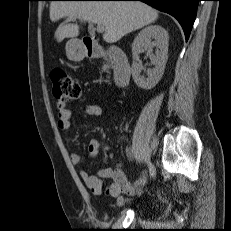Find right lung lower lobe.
Here are the masks:
<instances>
[{"mask_svg":"<svg viewBox=\"0 0 231 231\" xmlns=\"http://www.w3.org/2000/svg\"><path fill=\"white\" fill-rule=\"evenodd\" d=\"M109 1V0H94ZM114 1H142L160 11L175 17L183 28L186 40L196 18L198 3L201 0H114Z\"/></svg>","mask_w":231,"mask_h":231,"instance_id":"98d812e1","label":"right lung lower lobe"}]
</instances>
